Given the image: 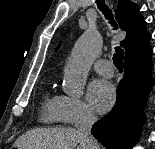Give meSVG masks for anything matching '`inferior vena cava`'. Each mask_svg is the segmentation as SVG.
I'll return each mask as SVG.
<instances>
[{
    "instance_id": "1",
    "label": "inferior vena cava",
    "mask_w": 155,
    "mask_h": 149,
    "mask_svg": "<svg viewBox=\"0 0 155 149\" xmlns=\"http://www.w3.org/2000/svg\"><path fill=\"white\" fill-rule=\"evenodd\" d=\"M97 121V117L92 112H86L80 122L79 131L83 135L87 144V149H99L97 140L91 135L92 125Z\"/></svg>"
}]
</instances>
